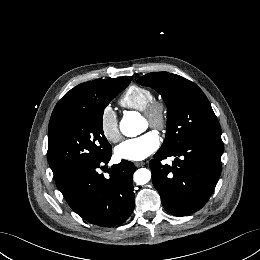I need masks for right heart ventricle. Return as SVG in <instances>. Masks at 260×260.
Masks as SVG:
<instances>
[{
  "label": "right heart ventricle",
  "mask_w": 260,
  "mask_h": 260,
  "mask_svg": "<svg viewBox=\"0 0 260 260\" xmlns=\"http://www.w3.org/2000/svg\"><path fill=\"white\" fill-rule=\"evenodd\" d=\"M153 98L150 89L132 85L123 93L119 102L125 108L142 111Z\"/></svg>",
  "instance_id": "e07e8e85"
}]
</instances>
